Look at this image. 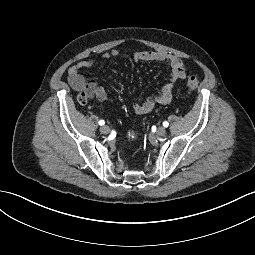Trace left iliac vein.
I'll return each instance as SVG.
<instances>
[{"mask_svg": "<svg viewBox=\"0 0 255 255\" xmlns=\"http://www.w3.org/2000/svg\"><path fill=\"white\" fill-rule=\"evenodd\" d=\"M156 133L159 136H164L166 134V129L164 127H158Z\"/></svg>", "mask_w": 255, "mask_h": 255, "instance_id": "left-iliac-vein-1", "label": "left iliac vein"}]
</instances>
